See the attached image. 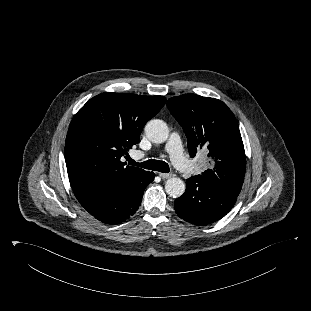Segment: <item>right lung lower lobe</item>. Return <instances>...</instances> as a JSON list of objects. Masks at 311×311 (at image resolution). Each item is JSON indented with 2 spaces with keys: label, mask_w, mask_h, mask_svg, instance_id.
I'll use <instances>...</instances> for the list:
<instances>
[{
  "label": "right lung lower lobe",
  "mask_w": 311,
  "mask_h": 311,
  "mask_svg": "<svg viewBox=\"0 0 311 311\" xmlns=\"http://www.w3.org/2000/svg\"><path fill=\"white\" fill-rule=\"evenodd\" d=\"M150 172L141 181L129 187H113L103 183L73 186L80 204L97 220L106 224H118L134 215L140 206L144 189L154 180Z\"/></svg>",
  "instance_id": "obj_1"
}]
</instances>
